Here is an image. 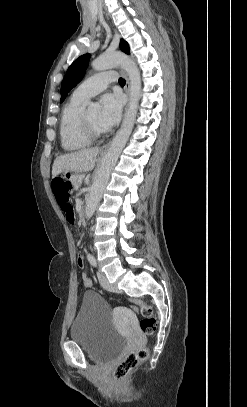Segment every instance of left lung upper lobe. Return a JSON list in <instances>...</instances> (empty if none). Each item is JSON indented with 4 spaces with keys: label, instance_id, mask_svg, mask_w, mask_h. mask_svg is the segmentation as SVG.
I'll use <instances>...</instances> for the list:
<instances>
[{
    "label": "left lung upper lobe",
    "instance_id": "obj_1",
    "mask_svg": "<svg viewBox=\"0 0 247 407\" xmlns=\"http://www.w3.org/2000/svg\"><path fill=\"white\" fill-rule=\"evenodd\" d=\"M120 49L129 54V45L125 40H121ZM90 59V54H85L78 57L68 68L66 75L62 81L61 85V99L60 102H63L70 92V90L75 87L84 77L85 71L88 66V61Z\"/></svg>",
    "mask_w": 247,
    "mask_h": 407
}]
</instances>
